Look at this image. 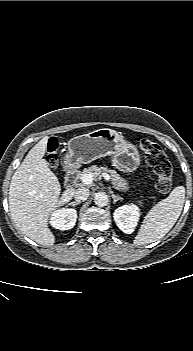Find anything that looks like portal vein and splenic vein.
Masks as SVG:
<instances>
[{
	"label": "portal vein and splenic vein",
	"mask_w": 193,
	"mask_h": 351,
	"mask_svg": "<svg viewBox=\"0 0 193 351\" xmlns=\"http://www.w3.org/2000/svg\"><path fill=\"white\" fill-rule=\"evenodd\" d=\"M102 176L104 177V179L106 181H110V175L107 174V173H102ZM94 178H93V175L91 173L89 174H84L82 177H81V181L83 184L85 185H89L93 182Z\"/></svg>",
	"instance_id": "1"
}]
</instances>
